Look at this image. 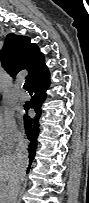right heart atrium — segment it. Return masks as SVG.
<instances>
[{"label":"right heart atrium","instance_id":"right-heart-atrium-1","mask_svg":"<svg viewBox=\"0 0 89 203\" xmlns=\"http://www.w3.org/2000/svg\"><path fill=\"white\" fill-rule=\"evenodd\" d=\"M21 138L15 119L10 112H4L0 115V145L5 151L14 148L15 144Z\"/></svg>","mask_w":89,"mask_h":203}]
</instances>
